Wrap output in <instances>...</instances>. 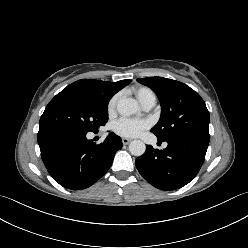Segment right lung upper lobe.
I'll return each mask as SVG.
<instances>
[{
  "instance_id": "cb5924a9",
  "label": "right lung upper lobe",
  "mask_w": 248,
  "mask_h": 248,
  "mask_svg": "<svg viewBox=\"0 0 248 248\" xmlns=\"http://www.w3.org/2000/svg\"><path fill=\"white\" fill-rule=\"evenodd\" d=\"M130 81L131 80L106 82L101 80L81 79L67 86L64 91L78 93L100 104H108L114 94L129 84Z\"/></svg>"
}]
</instances>
